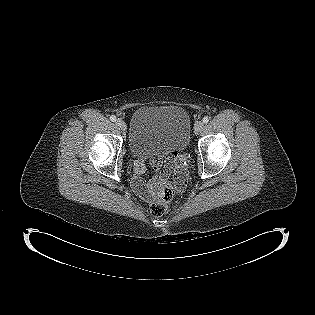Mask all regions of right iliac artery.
Wrapping results in <instances>:
<instances>
[{"label": "right iliac artery", "instance_id": "obj_1", "mask_svg": "<svg viewBox=\"0 0 315 315\" xmlns=\"http://www.w3.org/2000/svg\"><path fill=\"white\" fill-rule=\"evenodd\" d=\"M110 120H111L112 122H115V121H116V116H114V115L110 116Z\"/></svg>", "mask_w": 315, "mask_h": 315}]
</instances>
